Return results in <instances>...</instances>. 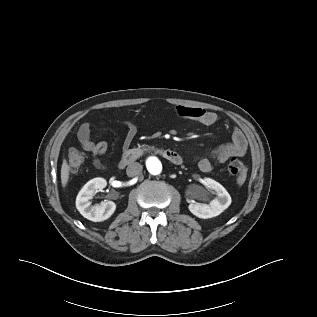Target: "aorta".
Instances as JSON below:
<instances>
[{
  "instance_id": "762f6f07",
  "label": "aorta",
  "mask_w": 317,
  "mask_h": 317,
  "mask_svg": "<svg viewBox=\"0 0 317 317\" xmlns=\"http://www.w3.org/2000/svg\"><path fill=\"white\" fill-rule=\"evenodd\" d=\"M146 167L147 170L153 175L160 174L162 171V164L156 157H150L146 162Z\"/></svg>"
}]
</instances>
